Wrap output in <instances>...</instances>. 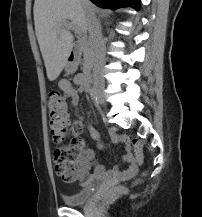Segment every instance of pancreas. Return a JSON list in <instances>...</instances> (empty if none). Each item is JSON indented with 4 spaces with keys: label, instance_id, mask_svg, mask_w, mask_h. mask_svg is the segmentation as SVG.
<instances>
[{
    "label": "pancreas",
    "instance_id": "obj_1",
    "mask_svg": "<svg viewBox=\"0 0 202 217\" xmlns=\"http://www.w3.org/2000/svg\"><path fill=\"white\" fill-rule=\"evenodd\" d=\"M79 46L81 51L83 52L84 63L83 66H90L92 59V47L90 40L84 36L79 41Z\"/></svg>",
    "mask_w": 202,
    "mask_h": 217
}]
</instances>
